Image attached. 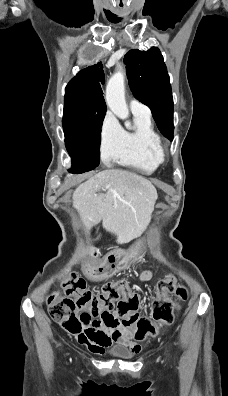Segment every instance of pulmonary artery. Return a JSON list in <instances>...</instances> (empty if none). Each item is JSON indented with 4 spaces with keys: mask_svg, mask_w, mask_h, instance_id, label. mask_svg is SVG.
Segmentation results:
<instances>
[{
    "mask_svg": "<svg viewBox=\"0 0 228 396\" xmlns=\"http://www.w3.org/2000/svg\"><path fill=\"white\" fill-rule=\"evenodd\" d=\"M129 107L132 111L133 114H146L150 115V110L149 108L141 103L140 101L136 99H132L129 103Z\"/></svg>",
    "mask_w": 228,
    "mask_h": 396,
    "instance_id": "obj_1",
    "label": "pulmonary artery"
}]
</instances>
